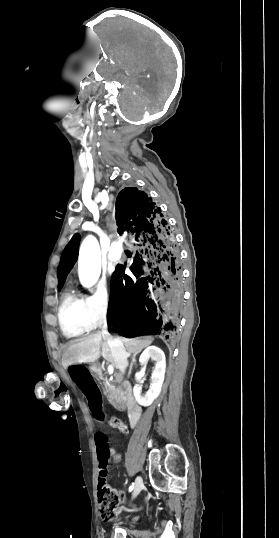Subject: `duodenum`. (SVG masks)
Segmentation results:
<instances>
[{
	"mask_svg": "<svg viewBox=\"0 0 279 538\" xmlns=\"http://www.w3.org/2000/svg\"><path fill=\"white\" fill-rule=\"evenodd\" d=\"M91 369L96 374L101 373V368H99V365L97 364H93L91 366ZM104 381H107V378H104ZM116 387H119V390H122V388H124V390H127L126 399L130 402H128V405H127V410H128L127 418H129V423H126V428L135 429L137 427L136 423H140V418L138 417H142V414H139V410L141 409V406L137 404L135 400H133L134 399V396L132 395L133 391L131 389H128L129 382H126V381L116 382Z\"/></svg>",
	"mask_w": 279,
	"mask_h": 538,
	"instance_id": "410a0bca",
	"label": "duodenum"
}]
</instances>
